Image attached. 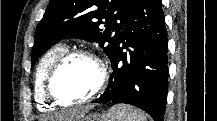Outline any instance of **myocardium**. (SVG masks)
<instances>
[{
    "label": "myocardium",
    "mask_w": 217,
    "mask_h": 121,
    "mask_svg": "<svg viewBox=\"0 0 217 121\" xmlns=\"http://www.w3.org/2000/svg\"><path fill=\"white\" fill-rule=\"evenodd\" d=\"M79 57L88 58L96 63L100 73L98 83L95 89L91 92V94L88 97L77 102L63 101L55 94L53 90L54 79L61 68L67 65L71 60ZM108 78L109 73L105 62L93 52L83 49L67 51L50 68L45 82V94L48 100L53 105L58 107H72L85 105L94 100L104 90L108 82Z\"/></svg>",
    "instance_id": "obj_1"
}]
</instances>
